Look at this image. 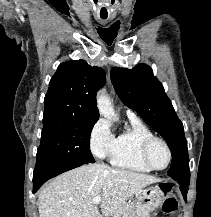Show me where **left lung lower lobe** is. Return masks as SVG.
Returning a JSON list of instances; mask_svg holds the SVG:
<instances>
[{
    "mask_svg": "<svg viewBox=\"0 0 211 217\" xmlns=\"http://www.w3.org/2000/svg\"><path fill=\"white\" fill-rule=\"evenodd\" d=\"M173 178L175 181H177V183L180 185V190L183 194V197L185 199V201L187 200V191H188V186L190 183V179H184V178H177V177H171Z\"/></svg>",
    "mask_w": 211,
    "mask_h": 217,
    "instance_id": "obj_1",
    "label": "left lung lower lobe"
}]
</instances>
